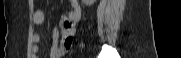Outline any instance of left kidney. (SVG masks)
<instances>
[{
  "label": "left kidney",
  "instance_id": "obj_1",
  "mask_svg": "<svg viewBox=\"0 0 181 58\" xmlns=\"http://www.w3.org/2000/svg\"><path fill=\"white\" fill-rule=\"evenodd\" d=\"M82 2L86 5V6H91L94 4V2H96V0H82Z\"/></svg>",
  "mask_w": 181,
  "mask_h": 58
}]
</instances>
